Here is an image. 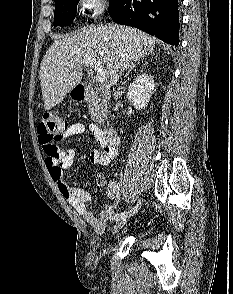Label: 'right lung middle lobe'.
<instances>
[{
    "instance_id": "1",
    "label": "right lung middle lobe",
    "mask_w": 233,
    "mask_h": 294,
    "mask_svg": "<svg viewBox=\"0 0 233 294\" xmlns=\"http://www.w3.org/2000/svg\"><path fill=\"white\" fill-rule=\"evenodd\" d=\"M115 0H109V8ZM79 0H55L54 27L69 26L75 18Z\"/></svg>"
}]
</instances>
